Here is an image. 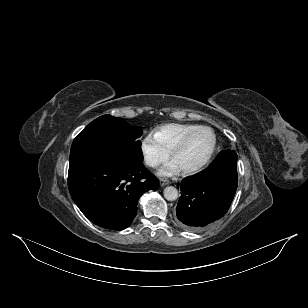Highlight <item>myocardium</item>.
Wrapping results in <instances>:
<instances>
[{
    "mask_svg": "<svg viewBox=\"0 0 308 308\" xmlns=\"http://www.w3.org/2000/svg\"><path fill=\"white\" fill-rule=\"evenodd\" d=\"M201 131H208L212 134L213 136V144L212 147L208 153V155L206 156V158L199 163L198 165H195L193 167H189V168H185L182 169L184 174H195L198 173L200 171H202L203 169H205L209 163L211 162L216 150H217V145H218V140H217V135L214 132V130L210 127L207 126H200L192 131H190L189 133H187L175 146L174 148L171 150L170 154L171 157L174 158L175 155L177 153H179L180 151H182L186 145L189 143V141L199 132Z\"/></svg>",
    "mask_w": 308,
    "mask_h": 308,
    "instance_id": "f54148a6",
    "label": "myocardium"
}]
</instances>
